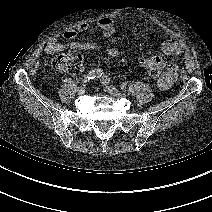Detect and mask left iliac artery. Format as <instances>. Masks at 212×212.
Returning a JSON list of instances; mask_svg holds the SVG:
<instances>
[{"instance_id":"1","label":"left iliac artery","mask_w":212,"mask_h":212,"mask_svg":"<svg viewBox=\"0 0 212 212\" xmlns=\"http://www.w3.org/2000/svg\"><path fill=\"white\" fill-rule=\"evenodd\" d=\"M109 82H110V78L107 76V75H103L102 77H101V83L102 84H104V85H107V84H109ZM123 91H126V86H125V84H120V86H119Z\"/></svg>"}]
</instances>
